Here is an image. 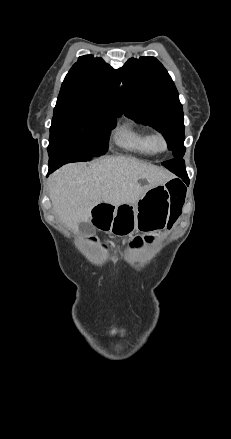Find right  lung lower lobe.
Masks as SVG:
<instances>
[{"instance_id":"98d812e1","label":"right lung lower lobe","mask_w":231,"mask_h":439,"mask_svg":"<svg viewBox=\"0 0 231 439\" xmlns=\"http://www.w3.org/2000/svg\"><path fill=\"white\" fill-rule=\"evenodd\" d=\"M61 165L62 164H59V163H49V173L53 172L55 169H57Z\"/></svg>"}]
</instances>
